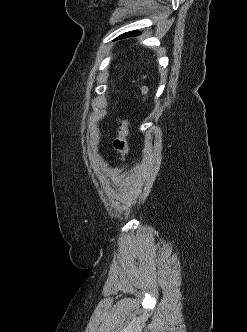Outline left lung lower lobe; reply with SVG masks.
Here are the masks:
<instances>
[{
	"mask_svg": "<svg viewBox=\"0 0 247 332\" xmlns=\"http://www.w3.org/2000/svg\"><path fill=\"white\" fill-rule=\"evenodd\" d=\"M138 34H139L138 31H131V32H127V33L122 34L121 36H119V38L132 37V36H136Z\"/></svg>",
	"mask_w": 247,
	"mask_h": 332,
	"instance_id": "1",
	"label": "left lung lower lobe"
}]
</instances>
